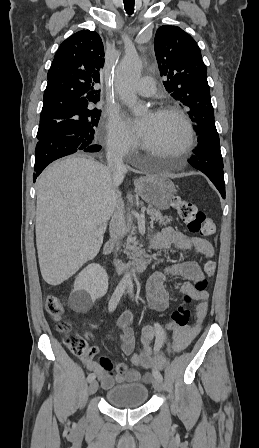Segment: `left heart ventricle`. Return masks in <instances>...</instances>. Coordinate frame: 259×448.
I'll return each mask as SVG.
<instances>
[{"instance_id":"obj_1","label":"left heart ventricle","mask_w":259,"mask_h":448,"mask_svg":"<svg viewBox=\"0 0 259 448\" xmlns=\"http://www.w3.org/2000/svg\"><path fill=\"white\" fill-rule=\"evenodd\" d=\"M146 124L139 131L140 142L147 145L155 154L173 156L172 148L184 137V126L173 114H145Z\"/></svg>"}]
</instances>
